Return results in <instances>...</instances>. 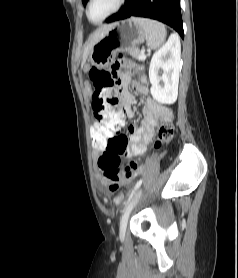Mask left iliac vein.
I'll return each instance as SVG.
<instances>
[{"instance_id":"1","label":"left iliac vein","mask_w":238,"mask_h":278,"mask_svg":"<svg viewBox=\"0 0 238 278\" xmlns=\"http://www.w3.org/2000/svg\"><path fill=\"white\" fill-rule=\"evenodd\" d=\"M145 188H148V185H145ZM141 194H142V197H145L146 191H141V190L137 191L136 194L129 201V204L126 207V210L124 212V215L122 217V221H121V224H120V238H124V236H125L128 216H129L131 210L133 209V207L139 201V199L141 197Z\"/></svg>"}]
</instances>
